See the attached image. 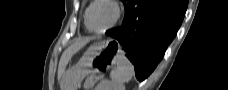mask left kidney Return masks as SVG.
<instances>
[{
  "label": "left kidney",
  "instance_id": "1",
  "mask_svg": "<svg viewBox=\"0 0 228 90\" xmlns=\"http://www.w3.org/2000/svg\"><path fill=\"white\" fill-rule=\"evenodd\" d=\"M95 90H125L123 84H117L109 80H102L95 88Z\"/></svg>",
  "mask_w": 228,
  "mask_h": 90
}]
</instances>
